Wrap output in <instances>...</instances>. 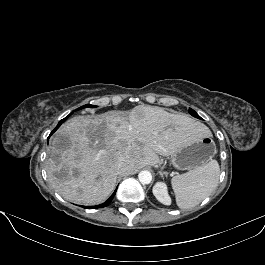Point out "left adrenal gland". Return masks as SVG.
Listing matches in <instances>:
<instances>
[{
	"label": "left adrenal gland",
	"mask_w": 265,
	"mask_h": 265,
	"mask_svg": "<svg viewBox=\"0 0 265 265\" xmlns=\"http://www.w3.org/2000/svg\"><path fill=\"white\" fill-rule=\"evenodd\" d=\"M159 174L163 177V175L166 174V173L160 171Z\"/></svg>",
	"instance_id": "1"
}]
</instances>
